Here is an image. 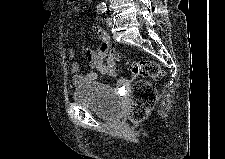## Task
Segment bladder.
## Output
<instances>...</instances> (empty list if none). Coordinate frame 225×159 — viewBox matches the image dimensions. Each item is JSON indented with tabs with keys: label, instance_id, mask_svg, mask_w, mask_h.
<instances>
[{
	"label": "bladder",
	"instance_id": "obj_1",
	"mask_svg": "<svg viewBox=\"0 0 225 159\" xmlns=\"http://www.w3.org/2000/svg\"><path fill=\"white\" fill-rule=\"evenodd\" d=\"M73 99L77 104L87 107L106 120H116L121 115V99L106 84L100 82L83 84L74 90Z\"/></svg>",
	"mask_w": 225,
	"mask_h": 159
}]
</instances>
